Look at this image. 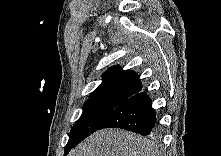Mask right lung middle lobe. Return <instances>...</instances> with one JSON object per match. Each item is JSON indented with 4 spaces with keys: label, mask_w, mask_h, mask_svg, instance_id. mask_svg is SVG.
Masks as SVG:
<instances>
[{
    "label": "right lung middle lobe",
    "mask_w": 221,
    "mask_h": 156,
    "mask_svg": "<svg viewBox=\"0 0 221 156\" xmlns=\"http://www.w3.org/2000/svg\"><path fill=\"white\" fill-rule=\"evenodd\" d=\"M125 100L115 98H90L85 102L81 117L71 129L64 155L101 125L113 110Z\"/></svg>",
    "instance_id": "dd1d6c3e"
}]
</instances>
